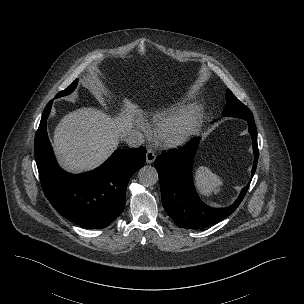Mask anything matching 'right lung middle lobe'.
Segmentation results:
<instances>
[{
  "label": "right lung middle lobe",
  "instance_id": "dd1d6c3e",
  "mask_svg": "<svg viewBox=\"0 0 304 304\" xmlns=\"http://www.w3.org/2000/svg\"><path fill=\"white\" fill-rule=\"evenodd\" d=\"M76 85H77V80L74 81L66 90H63L60 93H58L56 98L60 97V96L67 95V94H70L75 89Z\"/></svg>",
  "mask_w": 304,
  "mask_h": 304
}]
</instances>
